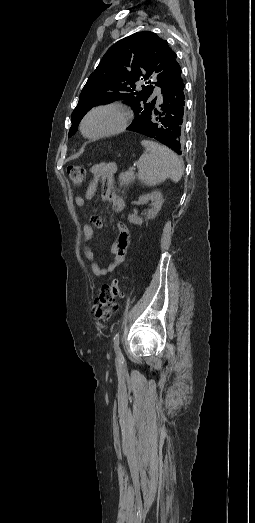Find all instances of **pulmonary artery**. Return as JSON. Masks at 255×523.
Returning <instances> with one entry per match:
<instances>
[{
  "label": "pulmonary artery",
  "instance_id": "obj_1",
  "mask_svg": "<svg viewBox=\"0 0 255 523\" xmlns=\"http://www.w3.org/2000/svg\"><path fill=\"white\" fill-rule=\"evenodd\" d=\"M151 98L154 100V102H153L154 107H156V108L161 107V105H162L161 99L163 98V95L161 94L159 85H156V89L154 90V93L151 95Z\"/></svg>",
  "mask_w": 255,
  "mask_h": 523
}]
</instances>
